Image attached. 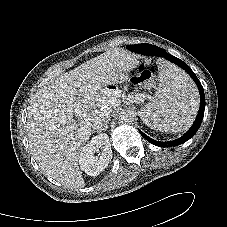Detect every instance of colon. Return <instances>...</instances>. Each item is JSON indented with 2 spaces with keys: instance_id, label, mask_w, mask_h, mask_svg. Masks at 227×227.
<instances>
[{
  "instance_id": "obj_1",
  "label": "colon",
  "mask_w": 227,
  "mask_h": 227,
  "mask_svg": "<svg viewBox=\"0 0 227 227\" xmlns=\"http://www.w3.org/2000/svg\"><path fill=\"white\" fill-rule=\"evenodd\" d=\"M155 75L154 68H146L144 66H139L137 69L133 70L131 73V81L134 84H151L153 82Z\"/></svg>"
}]
</instances>
